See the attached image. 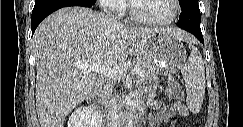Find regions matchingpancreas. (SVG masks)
<instances>
[{
	"mask_svg": "<svg viewBox=\"0 0 243 127\" xmlns=\"http://www.w3.org/2000/svg\"><path fill=\"white\" fill-rule=\"evenodd\" d=\"M134 66L139 68L141 71V74L139 75V77L142 80H156L157 77L155 76V74L152 72V70L141 60H135L134 61ZM109 91L106 94V98H109Z\"/></svg>",
	"mask_w": 243,
	"mask_h": 127,
	"instance_id": "cf45deb5",
	"label": "pancreas"
}]
</instances>
